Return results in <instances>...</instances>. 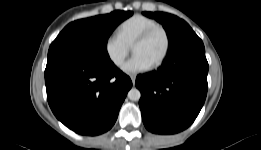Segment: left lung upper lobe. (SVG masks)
<instances>
[{
    "label": "left lung upper lobe",
    "instance_id": "5c2ea615",
    "mask_svg": "<svg viewBox=\"0 0 261 150\" xmlns=\"http://www.w3.org/2000/svg\"><path fill=\"white\" fill-rule=\"evenodd\" d=\"M145 16L161 23L169 39V49L177 44L184 36L193 33L191 27L182 19L163 12H144Z\"/></svg>",
    "mask_w": 261,
    "mask_h": 150
}]
</instances>
